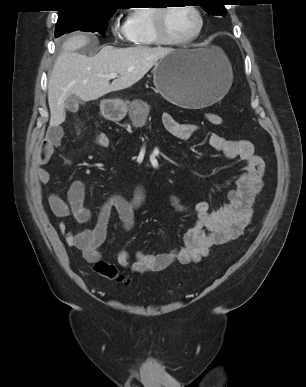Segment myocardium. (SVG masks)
Listing matches in <instances>:
<instances>
[{"instance_id": "f54148a6", "label": "myocardium", "mask_w": 306, "mask_h": 387, "mask_svg": "<svg viewBox=\"0 0 306 387\" xmlns=\"http://www.w3.org/2000/svg\"><path fill=\"white\" fill-rule=\"evenodd\" d=\"M196 15L198 20V25L196 30L188 37L184 39H174L171 38L165 29V17L166 13L170 7L162 6L153 9L152 13V29L154 36L159 44L162 45H171V46H182L187 45L195 41L202 33L204 28V17L196 5L190 4L187 5Z\"/></svg>"}]
</instances>
